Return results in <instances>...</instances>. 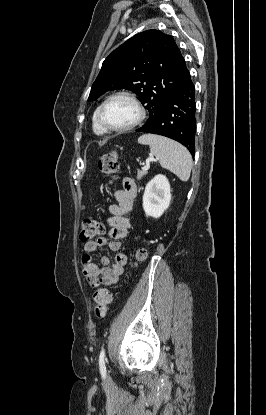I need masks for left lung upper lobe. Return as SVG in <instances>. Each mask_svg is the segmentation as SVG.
I'll return each mask as SVG.
<instances>
[{
	"mask_svg": "<svg viewBox=\"0 0 266 415\" xmlns=\"http://www.w3.org/2000/svg\"><path fill=\"white\" fill-rule=\"evenodd\" d=\"M186 73L184 57L173 37L147 30L127 40L104 60L88 100H96L109 90H130L149 111L147 124L157 118Z\"/></svg>",
	"mask_w": 266,
	"mask_h": 415,
	"instance_id": "left-lung-upper-lobe-1",
	"label": "left lung upper lobe"
}]
</instances>
